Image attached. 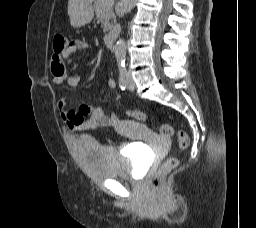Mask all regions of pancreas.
I'll list each match as a JSON object with an SVG mask.
<instances>
[{"instance_id":"1","label":"pancreas","mask_w":256,"mask_h":228,"mask_svg":"<svg viewBox=\"0 0 256 228\" xmlns=\"http://www.w3.org/2000/svg\"><path fill=\"white\" fill-rule=\"evenodd\" d=\"M114 0L107 2L106 0H95L93 5L96 17L103 24V31L107 32L112 28L110 20L112 19L115 23V15L113 12Z\"/></svg>"}]
</instances>
